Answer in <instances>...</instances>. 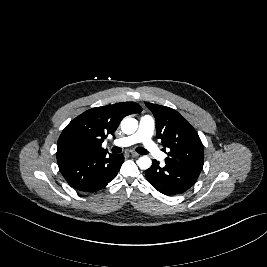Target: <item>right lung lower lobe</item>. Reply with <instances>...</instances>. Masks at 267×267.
Instances as JSON below:
<instances>
[{"label":"right lung lower lobe","instance_id":"1","mask_svg":"<svg viewBox=\"0 0 267 267\" xmlns=\"http://www.w3.org/2000/svg\"><path fill=\"white\" fill-rule=\"evenodd\" d=\"M124 157L116 154H92L58 160L66 181L76 190L95 192L104 188L117 175Z\"/></svg>","mask_w":267,"mask_h":267}]
</instances>
